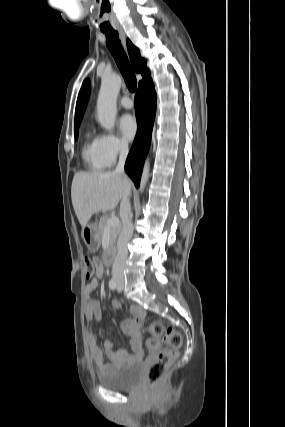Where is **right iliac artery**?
<instances>
[{"label":"right iliac artery","instance_id":"right-iliac-artery-1","mask_svg":"<svg viewBox=\"0 0 285 427\" xmlns=\"http://www.w3.org/2000/svg\"><path fill=\"white\" fill-rule=\"evenodd\" d=\"M109 287H110V289H112V290H115V289H116L117 284H116V281H115L114 279H111V280L109 281Z\"/></svg>","mask_w":285,"mask_h":427}]
</instances>
